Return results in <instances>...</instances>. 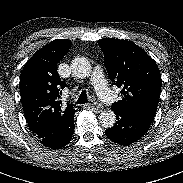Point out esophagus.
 Listing matches in <instances>:
<instances>
[{
    "label": "esophagus",
    "mask_w": 183,
    "mask_h": 183,
    "mask_svg": "<svg viewBox=\"0 0 183 183\" xmlns=\"http://www.w3.org/2000/svg\"><path fill=\"white\" fill-rule=\"evenodd\" d=\"M86 109H90L96 112H101L103 110V107L98 103H88L84 105Z\"/></svg>",
    "instance_id": "obj_1"
}]
</instances>
